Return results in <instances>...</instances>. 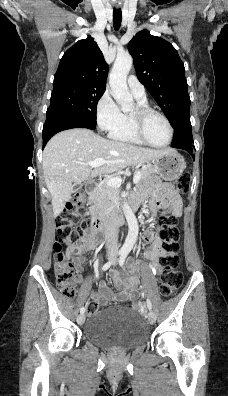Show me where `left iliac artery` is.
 Returning a JSON list of instances; mask_svg holds the SVG:
<instances>
[{"label":"left iliac artery","mask_w":228,"mask_h":396,"mask_svg":"<svg viewBox=\"0 0 228 396\" xmlns=\"http://www.w3.org/2000/svg\"><path fill=\"white\" fill-rule=\"evenodd\" d=\"M127 255H128V252H122V253H121L120 259H119V264H120L121 266H123V264H124V262H125V259H126ZM146 303H147L148 309L151 311V310H152V304H151V301H150L148 298H147V300H146Z\"/></svg>","instance_id":"left-iliac-artery-1"}]
</instances>
